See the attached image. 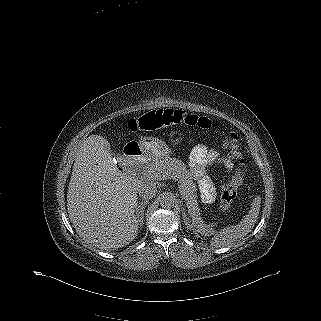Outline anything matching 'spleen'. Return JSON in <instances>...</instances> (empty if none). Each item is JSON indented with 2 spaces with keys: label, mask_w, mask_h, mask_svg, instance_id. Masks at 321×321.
Listing matches in <instances>:
<instances>
[{
  "label": "spleen",
  "mask_w": 321,
  "mask_h": 321,
  "mask_svg": "<svg viewBox=\"0 0 321 321\" xmlns=\"http://www.w3.org/2000/svg\"><path fill=\"white\" fill-rule=\"evenodd\" d=\"M261 198L257 196L253 202L251 209L243 219L233 226L226 227L218 232L212 238V245L215 247H224L233 244L238 239L245 237L254 227L259 211H260Z\"/></svg>",
  "instance_id": "1"
}]
</instances>
